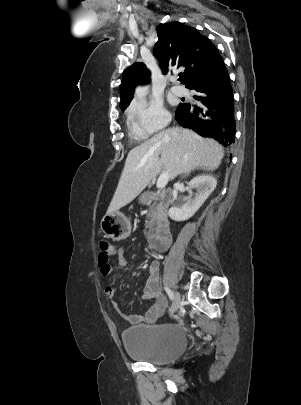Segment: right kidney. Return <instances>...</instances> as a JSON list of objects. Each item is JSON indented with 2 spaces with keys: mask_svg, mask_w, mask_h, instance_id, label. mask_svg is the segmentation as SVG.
I'll list each match as a JSON object with an SVG mask.
<instances>
[{
  "mask_svg": "<svg viewBox=\"0 0 301 405\" xmlns=\"http://www.w3.org/2000/svg\"><path fill=\"white\" fill-rule=\"evenodd\" d=\"M217 185V180L211 176L202 174L194 177L190 182L191 188H197V195L193 199H189L185 204L178 207H171L168 211V216L175 221H185L191 218L202 204L206 201L209 195L214 191Z\"/></svg>",
  "mask_w": 301,
  "mask_h": 405,
  "instance_id": "1",
  "label": "right kidney"
}]
</instances>
